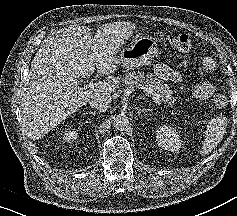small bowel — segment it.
I'll list each match as a JSON object with an SVG mask.
<instances>
[{
    "label": "small bowel",
    "instance_id": "1",
    "mask_svg": "<svg viewBox=\"0 0 237 216\" xmlns=\"http://www.w3.org/2000/svg\"><path fill=\"white\" fill-rule=\"evenodd\" d=\"M201 71L210 74L215 70V62L210 58H205L201 63ZM155 74L162 80L174 83L181 82L182 77L179 72L174 71L165 64H156L154 67ZM213 86L209 82H200L193 88L192 94L195 98L205 99L213 94Z\"/></svg>",
    "mask_w": 237,
    "mask_h": 216
}]
</instances>
